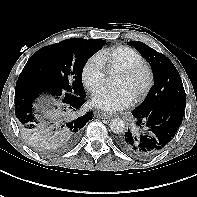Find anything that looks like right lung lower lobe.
<instances>
[{"label": "right lung lower lobe", "mask_w": 197, "mask_h": 197, "mask_svg": "<svg viewBox=\"0 0 197 197\" xmlns=\"http://www.w3.org/2000/svg\"><path fill=\"white\" fill-rule=\"evenodd\" d=\"M41 96H49L39 103ZM85 97L64 93L50 79L21 73L15 88V114L23 133L42 144L68 149L78 140L93 112L76 116Z\"/></svg>", "instance_id": "1"}]
</instances>
